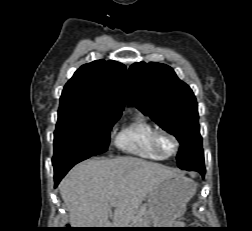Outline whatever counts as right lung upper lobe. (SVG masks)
Wrapping results in <instances>:
<instances>
[{
	"instance_id": "right-lung-upper-lobe-1",
	"label": "right lung upper lobe",
	"mask_w": 252,
	"mask_h": 231,
	"mask_svg": "<svg viewBox=\"0 0 252 231\" xmlns=\"http://www.w3.org/2000/svg\"><path fill=\"white\" fill-rule=\"evenodd\" d=\"M126 67L96 60L81 66L65 85L60 107H78L121 114L124 108Z\"/></svg>"
}]
</instances>
